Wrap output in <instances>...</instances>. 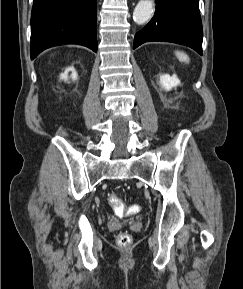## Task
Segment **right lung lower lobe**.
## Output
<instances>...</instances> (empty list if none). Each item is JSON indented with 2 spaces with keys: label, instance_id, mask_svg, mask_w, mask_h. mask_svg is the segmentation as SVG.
Here are the masks:
<instances>
[{
  "label": "right lung lower lobe",
  "instance_id": "1",
  "mask_svg": "<svg viewBox=\"0 0 243 289\" xmlns=\"http://www.w3.org/2000/svg\"><path fill=\"white\" fill-rule=\"evenodd\" d=\"M97 0H34L31 59L47 48L79 44L97 51Z\"/></svg>",
  "mask_w": 243,
  "mask_h": 289
}]
</instances>
